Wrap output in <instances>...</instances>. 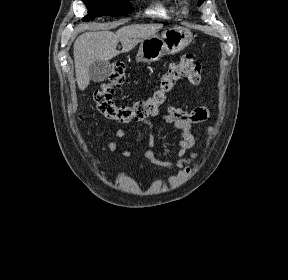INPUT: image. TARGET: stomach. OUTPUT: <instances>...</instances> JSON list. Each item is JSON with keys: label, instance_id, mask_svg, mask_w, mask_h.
I'll return each instance as SVG.
<instances>
[{"label": "stomach", "instance_id": "1", "mask_svg": "<svg viewBox=\"0 0 288 280\" xmlns=\"http://www.w3.org/2000/svg\"><path fill=\"white\" fill-rule=\"evenodd\" d=\"M192 41V33L185 27L171 26L161 35L143 39L137 53V62L152 63L164 55H172L182 51Z\"/></svg>", "mask_w": 288, "mask_h": 280}]
</instances>
